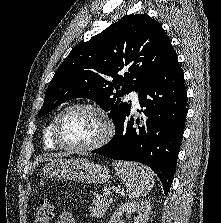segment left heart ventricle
I'll use <instances>...</instances> for the list:
<instances>
[{
  "mask_svg": "<svg viewBox=\"0 0 221 223\" xmlns=\"http://www.w3.org/2000/svg\"><path fill=\"white\" fill-rule=\"evenodd\" d=\"M104 131V121L97 113L91 110L75 109L63 117L59 127V136L65 144L86 146L95 142Z\"/></svg>",
  "mask_w": 221,
  "mask_h": 223,
  "instance_id": "b2bd125f",
  "label": "left heart ventricle"
}]
</instances>
